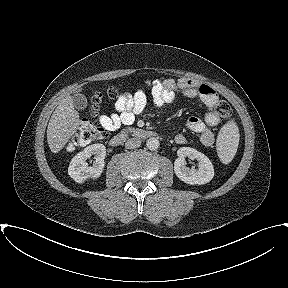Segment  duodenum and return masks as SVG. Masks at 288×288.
Listing matches in <instances>:
<instances>
[{"label":"duodenum","instance_id":"duodenum-1","mask_svg":"<svg viewBox=\"0 0 288 288\" xmlns=\"http://www.w3.org/2000/svg\"><path fill=\"white\" fill-rule=\"evenodd\" d=\"M156 136H157L156 132L152 130H147L143 128L126 129V130L121 131L116 136H114L110 140V145L114 147L119 146L124 141H126L129 137H134L138 139H148V138H153Z\"/></svg>","mask_w":288,"mask_h":288}]
</instances>
